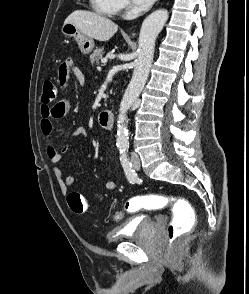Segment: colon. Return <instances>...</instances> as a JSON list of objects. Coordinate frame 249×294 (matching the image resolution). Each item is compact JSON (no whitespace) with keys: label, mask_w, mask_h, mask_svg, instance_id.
Wrapping results in <instances>:
<instances>
[{"label":"colon","mask_w":249,"mask_h":294,"mask_svg":"<svg viewBox=\"0 0 249 294\" xmlns=\"http://www.w3.org/2000/svg\"><path fill=\"white\" fill-rule=\"evenodd\" d=\"M63 71L68 69V62L64 61L60 66ZM59 90L57 85L51 80H45L43 83L42 102L50 104L58 99ZM68 204L73 213L84 215L87 213L88 204L85 198L78 193H70L67 197ZM175 205V215L169 222L166 233L169 242L175 243L180 237L190 231L195 224V213L193 208L186 201L169 196H140L126 201L124 205L125 213H136L141 209H158L167 205ZM186 210L187 213L182 211Z\"/></svg>","instance_id":"1"}]
</instances>
